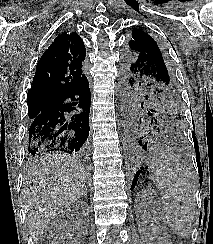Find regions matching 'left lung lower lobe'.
Returning <instances> with one entry per match:
<instances>
[{
  "mask_svg": "<svg viewBox=\"0 0 213 244\" xmlns=\"http://www.w3.org/2000/svg\"><path fill=\"white\" fill-rule=\"evenodd\" d=\"M123 121L126 146L132 154H140L149 150L164 137L160 128L153 121H148L130 107H125Z\"/></svg>",
  "mask_w": 213,
  "mask_h": 244,
  "instance_id": "obj_1",
  "label": "left lung lower lobe"
}]
</instances>
